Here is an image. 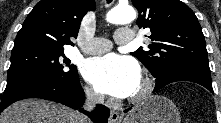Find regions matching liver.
I'll list each match as a JSON object with an SVG mask.
<instances>
[{
  "mask_svg": "<svg viewBox=\"0 0 221 123\" xmlns=\"http://www.w3.org/2000/svg\"><path fill=\"white\" fill-rule=\"evenodd\" d=\"M0 123H82V115L61 104L26 99L5 109Z\"/></svg>",
  "mask_w": 221,
  "mask_h": 123,
  "instance_id": "1",
  "label": "liver"
}]
</instances>
